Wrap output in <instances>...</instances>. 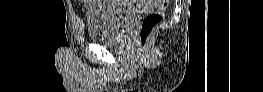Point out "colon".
Listing matches in <instances>:
<instances>
[{
    "mask_svg": "<svg viewBox=\"0 0 263 92\" xmlns=\"http://www.w3.org/2000/svg\"><path fill=\"white\" fill-rule=\"evenodd\" d=\"M158 8L150 11L143 19L140 30H139V40L142 47L145 46L154 28L162 21L163 12L166 10L169 1L168 0H158Z\"/></svg>",
    "mask_w": 263,
    "mask_h": 92,
    "instance_id": "1",
    "label": "colon"
}]
</instances>
